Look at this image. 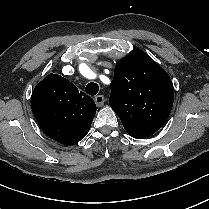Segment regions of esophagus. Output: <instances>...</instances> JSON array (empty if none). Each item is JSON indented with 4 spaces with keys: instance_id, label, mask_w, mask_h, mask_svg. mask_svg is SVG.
<instances>
[{
    "instance_id": "esophagus-1",
    "label": "esophagus",
    "mask_w": 209,
    "mask_h": 209,
    "mask_svg": "<svg viewBox=\"0 0 209 209\" xmlns=\"http://www.w3.org/2000/svg\"><path fill=\"white\" fill-rule=\"evenodd\" d=\"M95 103L98 107H102L104 105L105 102V97L103 95H98L95 97Z\"/></svg>"
}]
</instances>
